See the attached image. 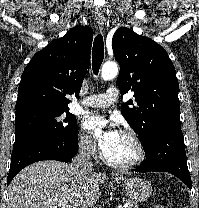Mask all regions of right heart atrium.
Returning a JSON list of instances; mask_svg holds the SVG:
<instances>
[{"instance_id": "right-heart-atrium-1", "label": "right heart atrium", "mask_w": 199, "mask_h": 208, "mask_svg": "<svg viewBox=\"0 0 199 208\" xmlns=\"http://www.w3.org/2000/svg\"><path fill=\"white\" fill-rule=\"evenodd\" d=\"M78 148L80 152L88 157L95 158L98 153L97 145L95 142L86 134H79L77 140Z\"/></svg>"}]
</instances>
